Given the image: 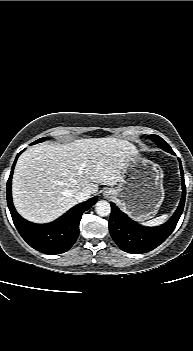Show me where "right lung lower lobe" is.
I'll return each mask as SVG.
<instances>
[{"label": "right lung lower lobe", "mask_w": 193, "mask_h": 351, "mask_svg": "<svg viewBox=\"0 0 193 351\" xmlns=\"http://www.w3.org/2000/svg\"><path fill=\"white\" fill-rule=\"evenodd\" d=\"M20 153L15 159L7 182V203L13 222L22 238L32 248L45 254L64 253L77 240L82 213L95 204L97 197L72 207L63 216L48 224H35L23 219L15 210L11 195L13 169Z\"/></svg>", "instance_id": "1"}]
</instances>
